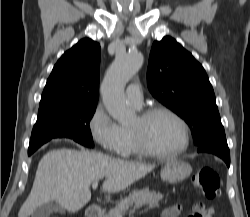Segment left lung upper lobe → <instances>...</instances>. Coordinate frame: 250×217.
Returning a JSON list of instances; mask_svg holds the SVG:
<instances>
[{"mask_svg":"<svg viewBox=\"0 0 250 217\" xmlns=\"http://www.w3.org/2000/svg\"><path fill=\"white\" fill-rule=\"evenodd\" d=\"M147 85L156 99L187 122L196 146L225 134L204 68L172 37L153 43Z\"/></svg>","mask_w":250,"mask_h":217,"instance_id":"5c2ea615","label":"left lung upper lobe"}]
</instances>
